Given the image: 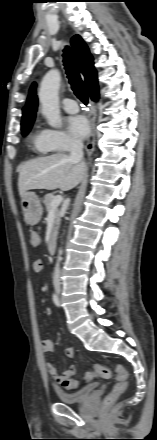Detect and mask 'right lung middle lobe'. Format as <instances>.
<instances>
[{"instance_id": "1", "label": "right lung middle lobe", "mask_w": 157, "mask_h": 440, "mask_svg": "<svg viewBox=\"0 0 157 440\" xmlns=\"http://www.w3.org/2000/svg\"><path fill=\"white\" fill-rule=\"evenodd\" d=\"M32 127V123L21 124L22 134L26 135L30 131Z\"/></svg>"}]
</instances>
